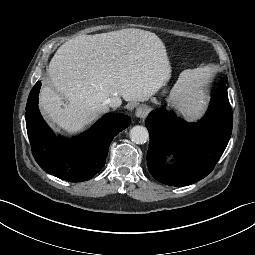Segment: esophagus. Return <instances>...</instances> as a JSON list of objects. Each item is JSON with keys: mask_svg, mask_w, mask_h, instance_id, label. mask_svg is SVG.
<instances>
[{"mask_svg": "<svg viewBox=\"0 0 255 255\" xmlns=\"http://www.w3.org/2000/svg\"><path fill=\"white\" fill-rule=\"evenodd\" d=\"M147 112H148V108L146 106H139L135 111V115L138 118H144Z\"/></svg>", "mask_w": 255, "mask_h": 255, "instance_id": "esophagus-1", "label": "esophagus"}]
</instances>
